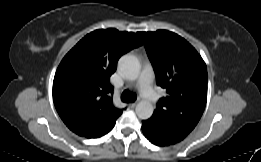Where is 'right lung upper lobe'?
<instances>
[{
	"instance_id": "right-lung-upper-lobe-1",
	"label": "right lung upper lobe",
	"mask_w": 261,
	"mask_h": 162,
	"mask_svg": "<svg viewBox=\"0 0 261 162\" xmlns=\"http://www.w3.org/2000/svg\"><path fill=\"white\" fill-rule=\"evenodd\" d=\"M142 45L135 33L99 29L81 39L61 61L53 81L55 108L79 136L108 133L122 114L113 106L109 83L119 58Z\"/></svg>"
}]
</instances>
